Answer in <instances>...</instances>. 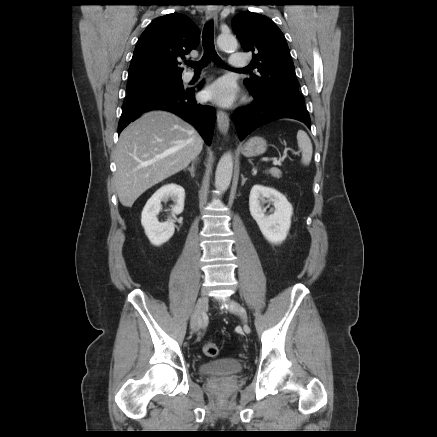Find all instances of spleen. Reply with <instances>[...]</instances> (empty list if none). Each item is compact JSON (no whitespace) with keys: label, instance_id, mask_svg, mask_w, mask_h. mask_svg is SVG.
<instances>
[{"label":"spleen","instance_id":"spleen-1","mask_svg":"<svg viewBox=\"0 0 437 437\" xmlns=\"http://www.w3.org/2000/svg\"><path fill=\"white\" fill-rule=\"evenodd\" d=\"M297 141H298V147L302 152L301 162L302 164L307 166L311 162L312 153H313L311 140L305 131L299 130L297 132Z\"/></svg>","mask_w":437,"mask_h":437}]
</instances>
